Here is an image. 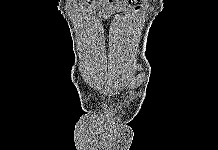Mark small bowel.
Wrapping results in <instances>:
<instances>
[{"label": "small bowel", "instance_id": "1", "mask_svg": "<svg viewBox=\"0 0 218 150\" xmlns=\"http://www.w3.org/2000/svg\"><path fill=\"white\" fill-rule=\"evenodd\" d=\"M136 11L140 8L141 0H125ZM87 10L89 12H98L100 18H108L115 13L116 7L113 0H96L88 5ZM124 14H116V20L121 19Z\"/></svg>", "mask_w": 218, "mask_h": 150}]
</instances>
